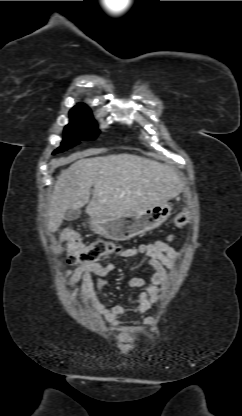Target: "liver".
I'll list each match as a JSON object with an SVG mask.
<instances>
[{
	"label": "liver",
	"instance_id": "liver-1",
	"mask_svg": "<svg viewBox=\"0 0 242 416\" xmlns=\"http://www.w3.org/2000/svg\"><path fill=\"white\" fill-rule=\"evenodd\" d=\"M183 189L174 167L148 158L127 153L82 158L57 177L47 228L56 232L68 209L88 204L90 217L136 214L166 203Z\"/></svg>",
	"mask_w": 242,
	"mask_h": 416
}]
</instances>
